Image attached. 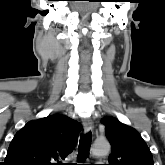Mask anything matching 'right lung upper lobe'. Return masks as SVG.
I'll list each match as a JSON object with an SVG mask.
<instances>
[{
  "mask_svg": "<svg viewBox=\"0 0 165 165\" xmlns=\"http://www.w3.org/2000/svg\"><path fill=\"white\" fill-rule=\"evenodd\" d=\"M79 122L55 114L28 122L10 143L3 165H57L77 144Z\"/></svg>",
  "mask_w": 165,
  "mask_h": 165,
  "instance_id": "cb5924a9",
  "label": "right lung upper lobe"
}]
</instances>
